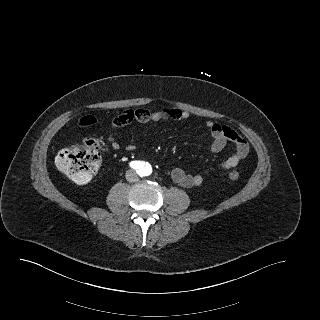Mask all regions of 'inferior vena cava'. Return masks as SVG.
Segmentation results:
<instances>
[{
  "instance_id": "obj_1",
  "label": "inferior vena cava",
  "mask_w": 320,
  "mask_h": 320,
  "mask_svg": "<svg viewBox=\"0 0 320 320\" xmlns=\"http://www.w3.org/2000/svg\"><path fill=\"white\" fill-rule=\"evenodd\" d=\"M125 177H126V180L129 182H136L138 180L137 173L132 169H130L126 172Z\"/></svg>"
}]
</instances>
